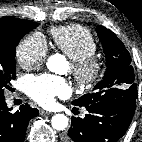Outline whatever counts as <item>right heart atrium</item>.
Here are the masks:
<instances>
[{
	"instance_id": "obj_1",
	"label": "right heart atrium",
	"mask_w": 142,
	"mask_h": 142,
	"mask_svg": "<svg viewBox=\"0 0 142 142\" xmlns=\"http://www.w3.org/2000/svg\"><path fill=\"white\" fill-rule=\"evenodd\" d=\"M48 52L47 42L39 32L27 35L17 46L16 57L23 69L38 68L45 60Z\"/></svg>"
}]
</instances>
